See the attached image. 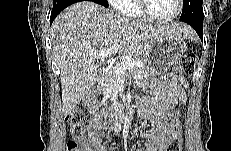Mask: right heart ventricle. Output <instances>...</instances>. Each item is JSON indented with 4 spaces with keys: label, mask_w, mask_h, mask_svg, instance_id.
<instances>
[{
    "label": "right heart ventricle",
    "mask_w": 231,
    "mask_h": 151,
    "mask_svg": "<svg viewBox=\"0 0 231 151\" xmlns=\"http://www.w3.org/2000/svg\"><path fill=\"white\" fill-rule=\"evenodd\" d=\"M121 11L132 19H142L135 1H125Z\"/></svg>",
    "instance_id": "e07e8e85"
}]
</instances>
